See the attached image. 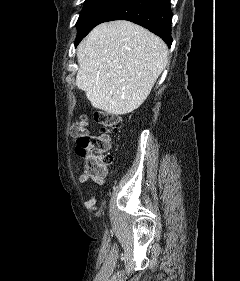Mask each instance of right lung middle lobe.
I'll return each instance as SVG.
<instances>
[{
    "instance_id": "1",
    "label": "right lung middle lobe",
    "mask_w": 240,
    "mask_h": 281,
    "mask_svg": "<svg viewBox=\"0 0 240 281\" xmlns=\"http://www.w3.org/2000/svg\"><path fill=\"white\" fill-rule=\"evenodd\" d=\"M119 0H85L84 7L76 23L78 44L96 25L99 19Z\"/></svg>"
}]
</instances>
